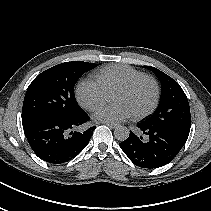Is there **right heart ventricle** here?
I'll use <instances>...</instances> for the list:
<instances>
[{
	"mask_svg": "<svg viewBox=\"0 0 211 211\" xmlns=\"http://www.w3.org/2000/svg\"><path fill=\"white\" fill-rule=\"evenodd\" d=\"M144 73L128 65H110L102 68L96 78L101 82L108 93L129 80L143 75Z\"/></svg>",
	"mask_w": 211,
	"mask_h": 211,
	"instance_id": "right-heart-ventricle-1",
	"label": "right heart ventricle"
}]
</instances>
